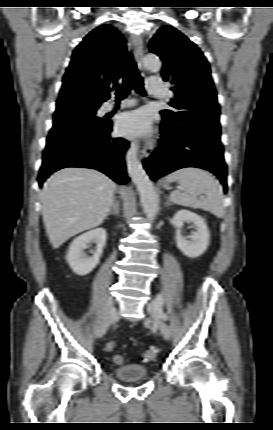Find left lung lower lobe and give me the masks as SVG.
<instances>
[{
	"mask_svg": "<svg viewBox=\"0 0 273 430\" xmlns=\"http://www.w3.org/2000/svg\"><path fill=\"white\" fill-rule=\"evenodd\" d=\"M161 140L157 151L144 161L152 180L184 167H198L214 173L227 191V168L220 140L219 120L200 114L191 122H177L162 114Z\"/></svg>",
	"mask_w": 273,
	"mask_h": 430,
	"instance_id": "0a47b994",
	"label": "left lung lower lobe"
}]
</instances>
